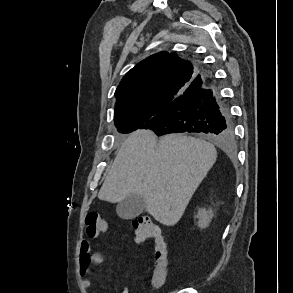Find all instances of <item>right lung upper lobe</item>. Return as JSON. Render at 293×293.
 <instances>
[{"label":"right lung upper lobe","instance_id":"cb5924a9","mask_svg":"<svg viewBox=\"0 0 293 293\" xmlns=\"http://www.w3.org/2000/svg\"><path fill=\"white\" fill-rule=\"evenodd\" d=\"M199 72L175 53L160 52L132 68L119 84L115 116L149 108L154 116L167 110ZM152 117V118H153Z\"/></svg>","mask_w":293,"mask_h":293}]
</instances>
